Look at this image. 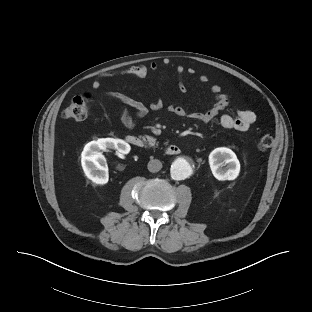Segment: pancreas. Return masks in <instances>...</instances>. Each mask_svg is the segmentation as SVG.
<instances>
[{
  "label": "pancreas",
  "instance_id": "obj_1",
  "mask_svg": "<svg viewBox=\"0 0 312 312\" xmlns=\"http://www.w3.org/2000/svg\"><path fill=\"white\" fill-rule=\"evenodd\" d=\"M147 139H148V142H149V145H150V146H154L155 144L157 145L156 139H155V138H153V137H148Z\"/></svg>",
  "mask_w": 312,
  "mask_h": 312
}]
</instances>
